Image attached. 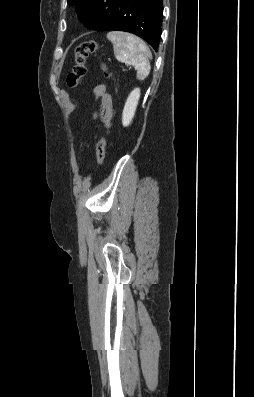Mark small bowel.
Listing matches in <instances>:
<instances>
[{
	"label": "small bowel",
	"instance_id": "obj_1",
	"mask_svg": "<svg viewBox=\"0 0 254 397\" xmlns=\"http://www.w3.org/2000/svg\"><path fill=\"white\" fill-rule=\"evenodd\" d=\"M94 94L96 98L100 99L101 108L100 112L98 114H94L93 117H99L106 126H110L113 116L112 97L106 91V86L103 84L95 87Z\"/></svg>",
	"mask_w": 254,
	"mask_h": 397
}]
</instances>
